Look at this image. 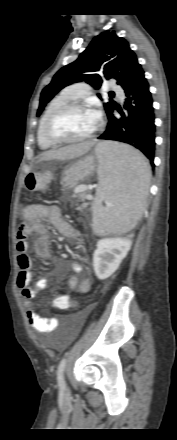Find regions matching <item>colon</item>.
Returning a JSON list of instances; mask_svg holds the SVG:
<instances>
[{
    "label": "colon",
    "mask_w": 177,
    "mask_h": 440,
    "mask_svg": "<svg viewBox=\"0 0 177 440\" xmlns=\"http://www.w3.org/2000/svg\"><path fill=\"white\" fill-rule=\"evenodd\" d=\"M52 182V175L50 172L43 171L38 173H31L26 176L25 184L27 189L34 191L46 188ZM81 301L77 298H52L50 300L51 308L54 311H70L76 309L77 303Z\"/></svg>",
    "instance_id": "1"
}]
</instances>
